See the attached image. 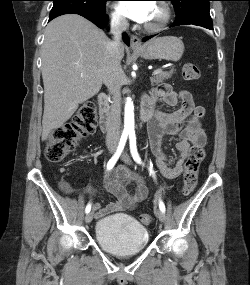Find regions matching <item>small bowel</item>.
Here are the masks:
<instances>
[{
	"label": "small bowel",
	"instance_id": "small-bowel-1",
	"mask_svg": "<svg viewBox=\"0 0 250 285\" xmlns=\"http://www.w3.org/2000/svg\"><path fill=\"white\" fill-rule=\"evenodd\" d=\"M159 101L167 106H175L181 102L180 107L174 112L168 113L161 109H155L154 103ZM144 103L152 109L148 125V135L153 154L156 157V165L160 173L167 179L178 178L184 170V162L191 146L206 143V135L201 126V118L204 109L194 103L192 95L187 90L175 91L168 84L159 85L152 93L144 98ZM179 136L176 149L179 157L174 166H169L168 158L163 151L162 141L164 136ZM134 182L136 184L132 192L127 191L126 186ZM106 187L117 200L106 207L94 203L93 210L97 218L110 213L133 209L148 195V186L143 178L125 166H118L106 179ZM61 189L66 194L72 192L71 186L63 182Z\"/></svg>",
	"mask_w": 250,
	"mask_h": 285
}]
</instances>
